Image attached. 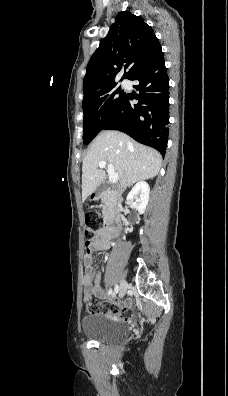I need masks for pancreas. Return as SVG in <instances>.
<instances>
[{"mask_svg": "<svg viewBox=\"0 0 228 396\" xmlns=\"http://www.w3.org/2000/svg\"><path fill=\"white\" fill-rule=\"evenodd\" d=\"M101 200H102V203L104 204L102 213H103V216L105 217L108 213V196L106 194L102 195Z\"/></svg>", "mask_w": 228, "mask_h": 396, "instance_id": "obj_1", "label": "pancreas"}]
</instances>
